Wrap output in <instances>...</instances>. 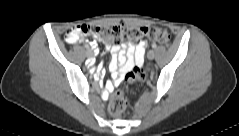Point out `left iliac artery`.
I'll use <instances>...</instances> for the list:
<instances>
[{
    "instance_id": "1",
    "label": "left iliac artery",
    "mask_w": 239,
    "mask_h": 136,
    "mask_svg": "<svg viewBox=\"0 0 239 136\" xmlns=\"http://www.w3.org/2000/svg\"><path fill=\"white\" fill-rule=\"evenodd\" d=\"M152 47H153V48H156V47H157V45H156V44H153V45H152Z\"/></svg>"
}]
</instances>
